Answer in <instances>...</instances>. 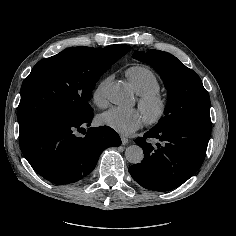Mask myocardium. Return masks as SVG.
<instances>
[{
	"instance_id": "f54148a6",
	"label": "myocardium",
	"mask_w": 236,
	"mask_h": 236,
	"mask_svg": "<svg viewBox=\"0 0 236 236\" xmlns=\"http://www.w3.org/2000/svg\"><path fill=\"white\" fill-rule=\"evenodd\" d=\"M138 106L143 112L147 124L153 126L159 124L166 117L169 105L167 98L157 92L140 96Z\"/></svg>"
}]
</instances>
